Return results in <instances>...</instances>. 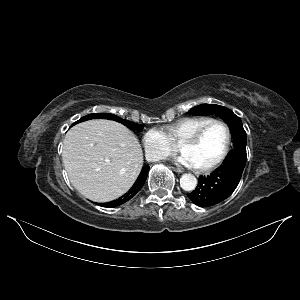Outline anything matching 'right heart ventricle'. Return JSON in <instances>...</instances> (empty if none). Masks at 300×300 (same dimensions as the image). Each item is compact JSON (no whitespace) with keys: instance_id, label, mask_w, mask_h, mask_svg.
<instances>
[{"instance_id":"right-heart-ventricle-1","label":"right heart ventricle","mask_w":300,"mask_h":300,"mask_svg":"<svg viewBox=\"0 0 300 300\" xmlns=\"http://www.w3.org/2000/svg\"><path fill=\"white\" fill-rule=\"evenodd\" d=\"M211 120L213 119L208 117H185L164 126L163 130L174 145H179Z\"/></svg>"}]
</instances>
